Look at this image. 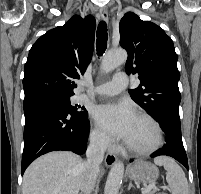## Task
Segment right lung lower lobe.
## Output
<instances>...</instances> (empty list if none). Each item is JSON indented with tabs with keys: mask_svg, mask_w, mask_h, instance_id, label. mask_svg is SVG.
<instances>
[{
	"mask_svg": "<svg viewBox=\"0 0 201 194\" xmlns=\"http://www.w3.org/2000/svg\"><path fill=\"white\" fill-rule=\"evenodd\" d=\"M22 174L37 157L51 151H86L90 124L47 96L24 99Z\"/></svg>",
	"mask_w": 201,
	"mask_h": 194,
	"instance_id": "98d812e1",
	"label": "right lung lower lobe"
}]
</instances>
